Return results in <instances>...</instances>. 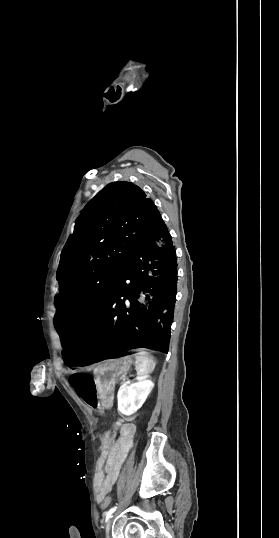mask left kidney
Wrapping results in <instances>:
<instances>
[{"instance_id":"left-kidney-1","label":"left kidney","mask_w":279,"mask_h":538,"mask_svg":"<svg viewBox=\"0 0 279 538\" xmlns=\"http://www.w3.org/2000/svg\"><path fill=\"white\" fill-rule=\"evenodd\" d=\"M146 376H140L135 384H122L118 390V410L124 416L135 414L143 406L148 394L154 388L151 380H145Z\"/></svg>"}]
</instances>
